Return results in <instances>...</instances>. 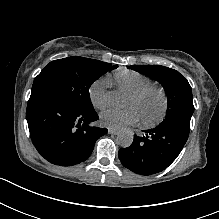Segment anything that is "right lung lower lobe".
<instances>
[{
	"label": "right lung lower lobe",
	"mask_w": 219,
	"mask_h": 219,
	"mask_svg": "<svg viewBox=\"0 0 219 219\" xmlns=\"http://www.w3.org/2000/svg\"><path fill=\"white\" fill-rule=\"evenodd\" d=\"M31 140L50 163L72 166L85 161L106 128L90 126L99 119L94 109L78 110L48 95H31L27 105Z\"/></svg>",
	"instance_id": "1"
}]
</instances>
